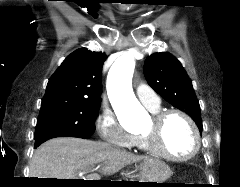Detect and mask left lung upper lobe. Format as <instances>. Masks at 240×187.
<instances>
[{
	"label": "left lung upper lobe",
	"mask_w": 240,
	"mask_h": 187,
	"mask_svg": "<svg viewBox=\"0 0 240 187\" xmlns=\"http://www.w3.org/2000/svg\"><path fill=\"white\" fill-rule=\"evenodd\" d=\"M144 74L151 88L168 103L189 114L201 132L199 101L181 63L170 53H154L145 60Z\"/></svg>",
	"instance_id": "5c2ea615"
}]
</instances>
